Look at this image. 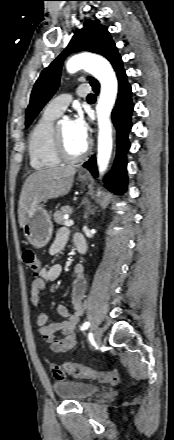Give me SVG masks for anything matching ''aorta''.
<instances>
[{
	"label": "aorta",
	"mask_w": 174,
	"mask_h": 440,
	"mask_svg": "<svg viewBox=\"0 0 174 440\" xmlns=\"http://www.w3.org/2000/svg\"><path fill=\"white\" fill-rule=\"evenodd\" d=\"M69 73L85 69L101 83V93L96 106L98 118L97 165L100 176L107 170L112 153V124L110 114L118 93V81L107 59L99 55L82 53L71 57L66 64Z\"/></svg>",
	"instance_id": "aorta-1"
}]
</instances>
